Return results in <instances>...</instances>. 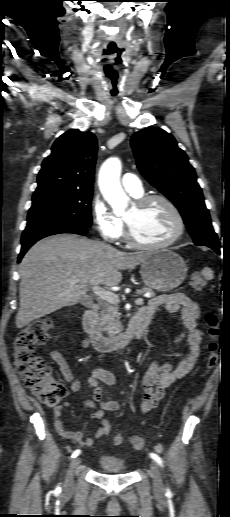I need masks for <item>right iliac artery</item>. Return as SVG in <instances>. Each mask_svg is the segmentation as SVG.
Masks as SVG:
<instances>
[{"label":"right iliac artery","instance_id":"1","mask_svg":"<svg viewBox=\"0 0 230 517\" xmlns=\"http://www.w3.org/2000/svg\"><path fill=\"white\" fill-rule=\"evenodd\" d=\"M80 452H81V451H80L79 449L75 450V451L72 453L71 458H75V457H77V456L80 454ZM56 490H60V487L56 488Z\"/></svg>","mask_w":230,"mask_h":517}]
</instances>
